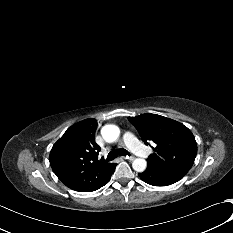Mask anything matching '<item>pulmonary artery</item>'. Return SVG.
<instances>
[{"instance_id": "pulmonary-artery-1", "label": "pulmonary artery", "mask_w": 233, "mask_h": 233, "mask_svg": "<svg viewBox=\"0 0 233 233\" xmlns=\"http://www.w3.org/2000/svg\"><path fill=\"white\" fill-rule=\"evenodd\" d=\"M124 144L135 154L139 156H146L147 150L137 141L135 136L130 132H125L122 136Z\"/></svg>"}]
</instances>
